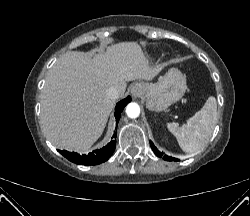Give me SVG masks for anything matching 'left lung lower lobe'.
I'll list each match as a JSON object with an SVG mask.
<instances>
[{
    "mask_svg": "<svg viewBox=\"0 0 250 216\" xmlns=\"http://www.w3.org/2000/svg\"><path fill=\"white\" fill-rule=\"evenodd\" d=\"M150 146L152 148V150L154 151V153L158 156V157H162V153L154 146V144L152 143V141H150ZM164 160H167V161H178V159L174 158V157H170V156H167L165 155L163 157Z\"/></svg>",
    "mask_w": 250,
    "mask_h": 216,
    "instance_id": "obj_1",
    "label": "left lung lower lobe"
}]
</instances>
